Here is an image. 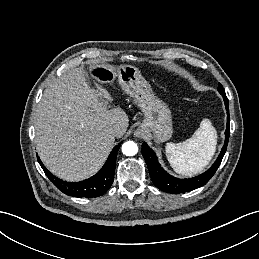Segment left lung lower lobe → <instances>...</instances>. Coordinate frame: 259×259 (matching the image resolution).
Wrapping results in <instances>:
<instances>
[{"instance_id": "0a47b994", "label": "left lung lower lobe", "mask_w": 259, "mask_h": 259, "mask_svg": "<svg viewBox=\"0 0 259 259\" xmlns=\"http://www.w3.org/2000/svg\"><path fill=\"white\" fill-rule=\"evenodd\" d=\"M221 95L223 96L225 107L227 110V115H228L227 129L225 131V143L215 163L211 166L210 169H208L203 174L189 179L175 178L169 175L165 170H163V168L158 163L157 157L153 152V150L149 148L145 142L142 144V155L147 163L151 180L154 183V185L160 190L168 193H173V194L189 192L201 186H204L215 174L226 152L228 140H229V134H230V129H229L230 116H229L228 98L226 94H221Z\"/></svg>"}]
</instances>
